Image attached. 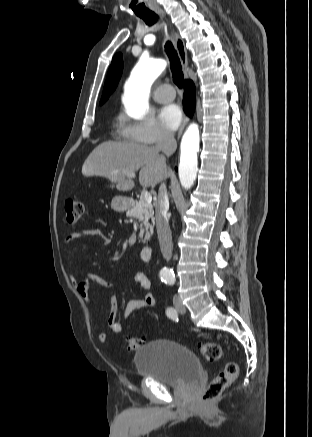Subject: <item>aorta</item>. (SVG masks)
Masks as SVG:
<instances>
[{"label":"aorta","mask_w":312,"mask_h":437,"mask_svg":"<svg viewBox=\"0 0 312 437\" xmlns=\"http://www.w3.org/2000/svg\"><path fill=\"white\" fill-rule=\"evenodd\" d=\"M166 67L163 59L141 57L125 85L124 105L128 116L141 120L148 110L151 86ZM200 135L197 124H191L184 133L180 146L179 179L182 187L190 189L198 171L197 152Z\"/></svg>","instance_id":"1"}]
</instances>
